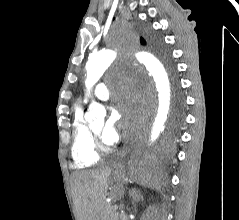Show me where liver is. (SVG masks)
<instances>
[{
	"mask_svg": "<svg viewBox=\"0 0 239 220\" xmlns=\"http://www.w3.org/2000/svg\"><path fill=\"white\" fill-rule=\"evenodd\" d=\"M109 167L77 171L71 175V187L77 220H103Z\"/></svg>",
	"mask_w": 239,
	"mask_h": 220,
	"instance_id": "liver-1",
	"label": "liver"
}]
</instances>
